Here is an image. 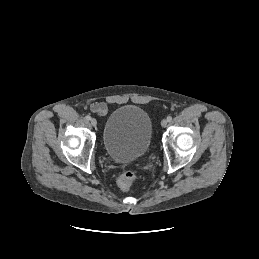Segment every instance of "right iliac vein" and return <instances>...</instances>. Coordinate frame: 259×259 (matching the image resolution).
Listing matches in <instances>:
<instances>
[{
	"instance_id": "1",
	"label": "right iliac vein",
	"mask_w": 259,
	"mask_h": 259,
	"mask_svg": "<svg viewBox=\"0 0 259 259\" xmlns=\"http://www.w3.org/2000/svg\"><path fill=\"white\" fill-rule=\"evenodd\" d=\"M90 122H91V125L94 126V127L97 125V120L95 118H92L90 120Z\"/></svg>"
}]
</instances>
